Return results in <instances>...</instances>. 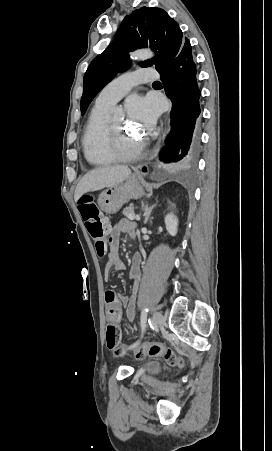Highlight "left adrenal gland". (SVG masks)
Returning a JSON list of instances; mask_svg holds the SVG:
<instances>
[{
  "label": "left adrenal gland",
  "instance_id": "left-adrenal-gland-1",
  "mask_svg": "<svg viewBox=\"0 0 272 451\" xmlns=\"http://www.w3.org/2000/svg\"><path fill=\"white\" fill-rule=\"evenodd\" d=\"M155 206H156V204H154V206H151V208H148V204H147V206H142V208L144 210L143 216H145L144 224H147L148 218H149L153 208H155Z\"/></svg>",
  "mask_w": 272,
  "mask_h": 451
}]
</instances>
